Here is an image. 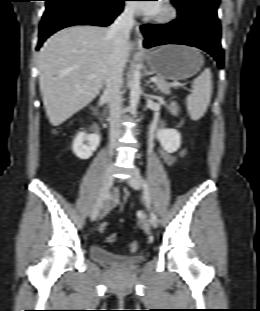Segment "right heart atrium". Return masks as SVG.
I'll return each mask as SVG.
<instances>
[{"label":"right heart atrium","instance_id":"d8ad5b80","mask_svg":"<svg viewBox=\"0 0 260 311\" xmlns=\"http://www.w3.org/2000/svg\"><path fill=\"white\" fill-rule=\"evenodd\" d=\"M124 13L129 15V16H131L133 14V11H132V9L130 7H126L124 9Z\"/></svg>","mask_w":260,"mask_h":311}]
</instances>
